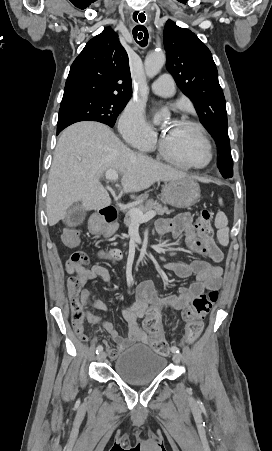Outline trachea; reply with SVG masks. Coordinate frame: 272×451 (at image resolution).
<instances>
[{
	"instance_id": "1",
	"label": "trachea",
	"mask_w": 272,
	"mask_h": 451,
	"mask_svg": "<svg viewBox=\"0 0 272 451\" xmlns=\"http://www.w3.org/2000/svg\"><path fill=\"white\" fill-rule=\"evenodd\" d=\"M135 21H138L137 19H135ZM141 23H143L145 21V19L143 20H139ZM139 32V33H138ZM133 36L134 39L138 41L137 43H139V45H141L142 47H145L147 45L148 42V31L147 29L143 26V25H138L133 29Z\"/></svg>"
}]
</instances>
